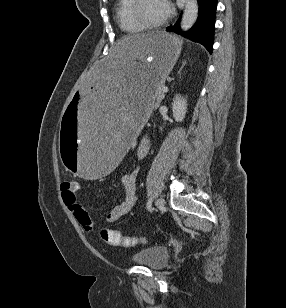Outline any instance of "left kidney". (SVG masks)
<instances>
[{
	"label": "left kidney",
	"mask_w": 286,
	"mask_h": 308,
	"mask_svg": "<svg viewBox=\"0 0 286 308\" xmlns=\"http://www.w3.org/2000/svg\"><path fill=\"white\" fill-rule=\"evenodd\" d=\"M173 117L177 122H182L187 112V100L181 96H176L172 103Z\"/></svg>",
	"instance_id": "obj_1"
}]
</instances>
